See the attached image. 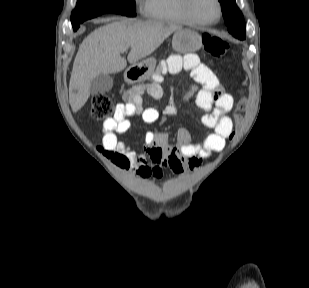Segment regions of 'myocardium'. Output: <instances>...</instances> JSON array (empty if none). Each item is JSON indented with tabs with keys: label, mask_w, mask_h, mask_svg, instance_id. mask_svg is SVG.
<instances>
[{
	"label": "myocardium",
	"mask_w": 309,
	"mask_h": 288,
	"mask_svg": "<svg viewBox=\"0 0 309 288\" xmlns=\"http://www.w3.org/2000/svg\"><path fill=\"white\" fill-rule=\"evenodd\" d=\"M182 1H183V3H182L183 10H184L186 16L191 21V23L194 24V25L202 26V27L212 26V25L219 23L220 20L223 17V5H222L221 0H215L216 3H217V6H218V12L219 13H218L217 19L214 20V21H202L196 16L194 11H193V6H192L193 0H182Z\"/></svg>",
	"instance_id": "f54148a6"
}]
</instances>
